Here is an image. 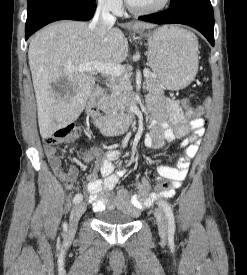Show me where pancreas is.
Returning a JSON list of instances; mask_svg holds the SVG:
<instances>
[{"label": "pancreas", "instance_id": "1", "mask_svg": "<svg viewBox=\"0 0 247 275\" xmlns=\"http://www.w3.org/2000/svg\"><path fill=\"white\" fill-rule=\"evenodd\" d=\"M146 89L152 93H164V88L157 78L150 74L146 78ZM132 98V86L129 81L115 78L111 83V94L104 97L101 109L108 113L122 111Z\"/></svg>", "mask_w": 247, "mask_h": 275}]
</instances>
